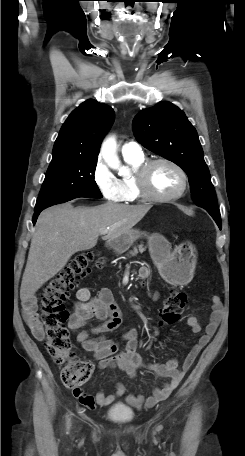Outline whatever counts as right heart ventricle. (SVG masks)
Masks as SVG:
<instances>
[{
  "label": "right heart ventricle",
  "mask_w": 245,
  "mask_h": 456,
  "mask_svg": "<svg viewBox=\"0 0 245 456\" xmlns=\"http://www.w3.org/2000/svg\"><path fill=\"white\" fill-rule=\"evenodd\" d=\"M125 161L132 167L134 174L119 179L122 188V202L131 203L142 199V196L138 190L135 182V172L137 168L144 163V155L131 156L123 155Z\"/></svg>",
  "instance_id": "right-heart-ventricle-1"
}]
</instances>
